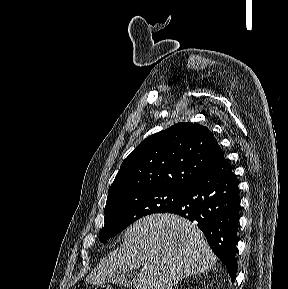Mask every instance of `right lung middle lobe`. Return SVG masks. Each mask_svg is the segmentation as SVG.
I'll list each match as a JSON object with an SVG mask.
<instances>
[{"label": "right lung middle lobe", "instance_id": "dd1d6c3e", "mask_svg": "<svg viewBox=\"0 0 288 289\" xmlns=\"http://www.w3.org/2000/svg\"><path fill=\"white\" fill-rule=\"evenodd\" d=\"M185 188H150L123 191L107 198L105 225L99 239H108L121 232L141 217L153 213L168 212L182 198Z\"/></svg>", "mask_w": 288, "mask_h": 289}]
</instances>
